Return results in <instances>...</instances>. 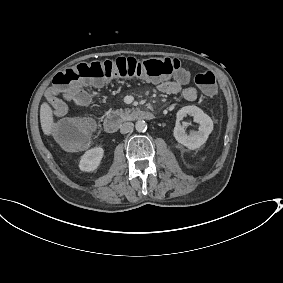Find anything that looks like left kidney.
Segmentation results:
<instances>
[{
  "label": "left kidney",
  "mask_w": 283,
  "mask_h": 283,
  "mask_svg": "<svg viewBox=\"0 0 283 283\" xmlns=\"http://www.w3.org/2000/svg\"><path fill=\"white\" fill-rule=\"evenodd\" d=\"M187 115L193 116L194 122L200 124L199 130L192 131L190 135L185 133L183 126L180 124V121ZM212 130V119L197 106H185L176 114V125L173 131L174 137L179 143L191 150L199 148L201 145H203L208 139V136Z\"/></svg>",
  "instance_id": "1"
}]
</instances>
